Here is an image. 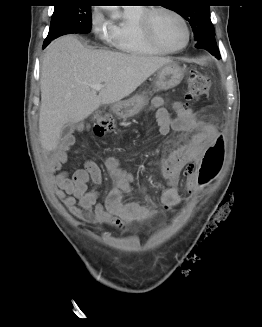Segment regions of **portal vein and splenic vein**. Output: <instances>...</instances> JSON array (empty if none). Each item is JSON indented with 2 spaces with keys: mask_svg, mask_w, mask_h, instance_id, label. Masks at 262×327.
I'll list each match as a JSON object with an SVG mask.
<instances>
[{
  "mask_svg": "<svg viewBox=\"0 0 262 327\" xmlns=\"http://www.w3.org/2000/svg\"><path fill=\"white\" fill-rule=\"evenodd\" d=\"M103 87H104L103 84H95L91 86V88L95 91H100Z\"/></svg>",
  "mask_w": 262,
  "mask_h": 327,
  "instance_id": "obj_1",
  "label": "portal vein and splenic vein"
}]
</instances>
